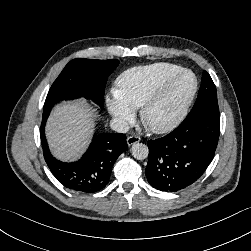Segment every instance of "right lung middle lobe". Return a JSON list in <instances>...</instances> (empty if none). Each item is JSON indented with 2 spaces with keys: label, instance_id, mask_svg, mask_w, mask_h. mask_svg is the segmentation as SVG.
Returning <instances> with one entry per match:
<instances>
[{
  "label": "right lung middle lobe",
  "instance_id": "dd1d6c3e",
  "mask_svg": "<svg viewBox=\"0 0 251 251\" xmlns=\"http://www.w3.org/2000/svg\"><path fill=\"white\" fill-rule=\"evenodd\" d=\"M119 61L77 58L70 61L52 84L44 109L51 110L57 102L80 97L91 99L103 107L104 90L109 75Z\"/></svg>",
  "mask_w": 251,
  "mask_h": 251
}]
</instances>
